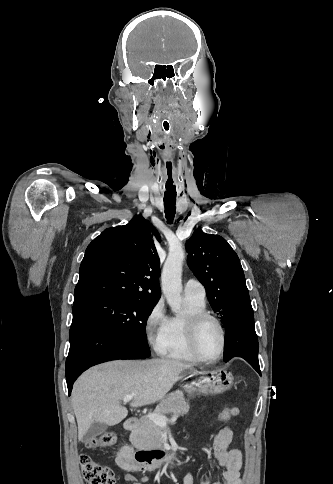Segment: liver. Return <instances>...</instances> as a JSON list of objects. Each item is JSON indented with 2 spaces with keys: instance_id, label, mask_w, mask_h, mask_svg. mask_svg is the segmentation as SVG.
<instances>
[{
  "instance_id": "obj_1",
  "label": "liver",
  "mask_w": 333,
  "mask_h": 484,
  "mask_svg": "<svg viewBox=\"0 0 333 484\" xmlns=\"http://www.w3.org/2000/svg\"><path fill=\"white\" fill-rule=\"evenodd\" d=\"M194 371L190 364L159 358L117 360L90 368L77 379L71 395L78 439L94 422L113 426L125 419L124 396L135 393L132 407L153 404L165 397L182 373Z\"/></svg>"
}]
</instances>
